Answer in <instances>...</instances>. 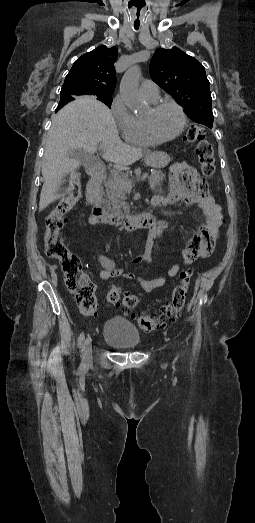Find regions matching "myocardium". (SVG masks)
I'll use <instances>...</instances> for the list:
<instances>
[{"mask_svg":"<svg viewBox=\"0 0 255 523\" xmlns=\"http://www.w3.org/2000/svg\"><path fill=\"white\" fill-rule=\"evenodd\" d=\"M164 106H172L174 107L177 112L179 113L180 115V118H181V123H180V127L179 129L177 130V132L175 134H173L172 136H169V137H158L154 134L152 128H151V124H150V120L149 118H146V117H142V127H143V130H144V133L146 134V136L152 141V142H155V143H165V142H169V141H172L174 139H176L177 137H179L182 132L184 131L185 129V126H186V114L185 112L183 111V109L181 108V106H179L177 103L173 102V101H166V100H159V101H156L151 107H150V110L152 112H155L157 111L158 109L164 107Z\"/></svg>","mask_w":255,"mask_h":523,"instance_id":"1","label":"myocardium"}]
</instances>
